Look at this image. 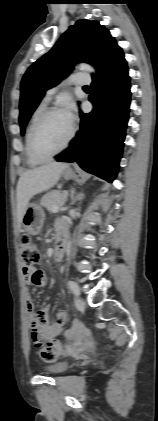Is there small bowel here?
<instances>
[{"label":"small bowel","instance_id":"small-bowel-1","mask_svg":"<svg viewBox=\"0 0 158 421\" xmlns=\"http://www.w3.org/2000/svg\"><path fill=\"white\" fill-rule=\"evenodd\" d=\"M58 234L66 232V223L62 220L57 221ZM23 275L26 283L38 288H43L47 284L46 275L39 269L23 268ZM27 308L29 311V323L32 339L37 347L55 336L62 335L72 345L77 346L88 339V332L84 325L75 321L69 330L64 331L63 327L67 321V313L58 311L51 321L49 307L37 310L30 295H27Z\"/></svg>","mask_w":158,"mask_h":421}]
</instances>
